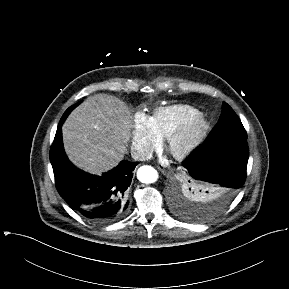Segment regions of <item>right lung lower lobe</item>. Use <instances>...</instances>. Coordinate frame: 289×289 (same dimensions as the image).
I'll use <instances>...</instances> for the list:
<instances>
[{
  "mask_svg": "<svg viewBox=\"0 0 289 289\" xmlns=\"http://www.w3.org/2000/svg\"><path fill=\"white\" fill-rule=\"evenodd\" d=\"M64 120L58 124L50 149V161L60 196L92 223L105 224L122 218L127 213L128 190L138 162L123 160L102 176L79 170L71 164L63 149L61 125Z\"/></svg>",
  "mask_w": 289,
  "mask_h": 289,
  "instance_id": "right-lung-lower-lobe-1",
  "label": "right lung lower lobe"
}]
</instances>
